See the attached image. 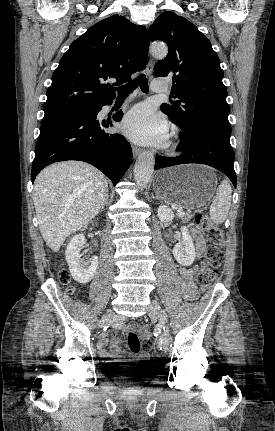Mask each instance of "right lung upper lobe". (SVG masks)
Listing matches in <instances>:
<instances>
[{"label":"right lung upper lobe","instance_id":"1","mask_svg":"<svg viewBox=\"0 0 275 431\" xmlns=\"http://www.w3.org/2000/svg\"><path fill=\"white\" fill-rule=\"evenodd\" d=\"M149 38L143 26L114 15L90 27L61 58L47 90L44 112L108 103L112 85L131 80L145 68Z\"/></svg>","mask_w":275,"mask_h":431}]
</instances>
